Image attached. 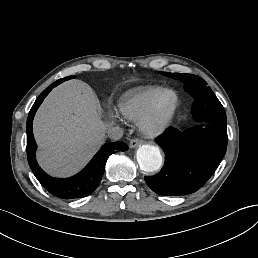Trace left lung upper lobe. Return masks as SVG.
I'll list each match as a JSON object with an SVG mask.
<instances>
[{"label":"left lung upper lobe","instance_id":"1","mask_svg":"<svg viewBox=\"0 0 258 258\" xmlns=\"http://www.w3.org/2000/svg\"><path fill=\"white\" fill-rule=\"evenodd\" d=\"M162 75L179 79L184 83V89L193 98L192 115L197 121H216L226 124L225 110L217 99L210 87L206 85L205 80L193 74H180L161 72ZM211 100V104L201 103L199 101ZM206 104L207 107L203 105Z\"/></svg>","mask_w":258,"mask_h":258}]
</instances>
